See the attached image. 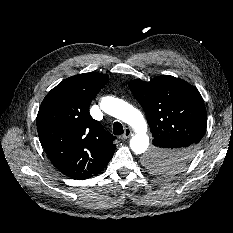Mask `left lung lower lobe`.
<instances>
[{"label": "left lung lower lobe", "instance_id": "0a47b994", "mask_svg": "<svg viewBox=\"0 0 233 233\" xmlns=\"http://www.w3.org/2000/svg\"><path fill=\"white\" fill-rule=\"evenodd\" d=\"M154 142L171 153L168 162L184 164L193 158L192 144L188 139L178 135H163L155 137Z\"/></svg>", "mask_w": 233, "mask_h": 233}]
</instances>
